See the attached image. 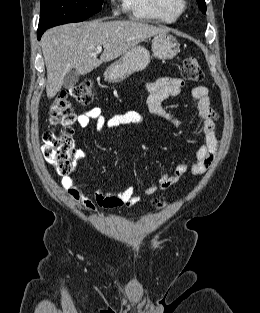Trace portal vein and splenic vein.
<instances>
[{"label": "portal vein and splenic vein", "mask_w": 260, "mask_h": 313, "mask_svg": "<svg viewBox=\"0 0 260 313\" xmlns=\"http://www.w3.org/2000/svg\"><path fill=\"white\" fill-rule=\"evenodd\" d=\"M95 53H100L102 51V47L98 46L94 49Z\"/></svg>", "instance_id": "18ae733b"}]
</instances>
